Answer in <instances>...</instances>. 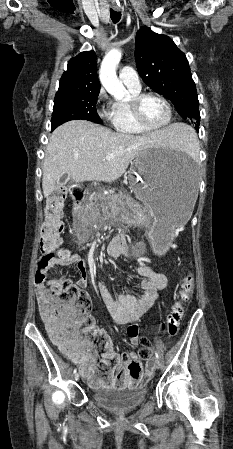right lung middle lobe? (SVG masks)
Instances as JSON below:
<instances>
[{"mask_svg": "<svg viewBox=\"0 0 233 449\" xmlns=\"http://www.w3.org/2000/svg\"><path fill=\"white\" fill-rule=\"evenodd\" d=\"M99 92L56 95L51 119L52 130L64 122L84 119L101 124L96 111Z\"/></svg>", "mask_w": 233, "mask_h": 449, "instance_id": "obj_1", "label": "right lung middle lobe"}]
</instances>
